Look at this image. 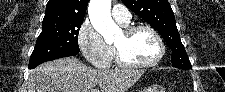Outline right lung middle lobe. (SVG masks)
Segmentation results:
<instances>
[{
    "instance_id": "right-lung-middle-lobe-1",
    "label": "right lung middle lobe",
    "mask_w": 225,
    "mask_h": 92,
    "mask_svg": "<svg viewBox=\"0 0 225 92\" xmlns=\"http://www.w3.org/2000/svg\"><path fill=\"white\" fill-rule=\"evenodd\" d=\"M81 24L82 22L43 24L30 62L67 52H79L78 34Z\"/></svg>"
}]
</instances>
